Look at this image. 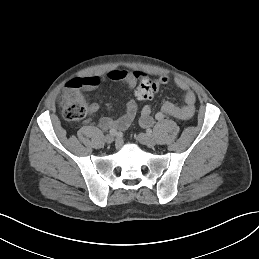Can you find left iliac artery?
I'll return each mask as SVG.
<instances>
[{"label": "left iliac artery", "mask_w": 259, "mask_h": 259, "mask_svg": "<svg viewBox=\"0 0 259 259\" xmlns=\"http://www.w3.org/2000/svg\"><path fill=\"white\" fill-rule=\"evenodd\" d=\"M164 117H165V115H164L162 112H158V113L155 115V118H156L158 121L163 120Z\"/></svg>", "instance_id": "44dca946"}]
</instances>
